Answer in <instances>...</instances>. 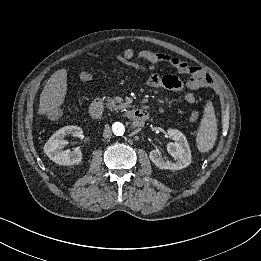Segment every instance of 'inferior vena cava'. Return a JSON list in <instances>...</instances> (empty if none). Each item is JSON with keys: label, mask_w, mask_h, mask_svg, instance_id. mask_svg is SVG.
<instances>
[{"label": "inferior vena cava", "mask_w": 261, "mask_h": 261, "mask_svg": "<svg viewBox=\"0 0 261 261\" xmlns=\"http://www.w3.org/2000/svg\"><path fill=\"white\" fill-rule=\"evenodd\" d=\"M112 136V131L109 125H105V128L103 130V137L104 138H111Z\"/></svg>", "instance_id": "1"}]
</instances>
